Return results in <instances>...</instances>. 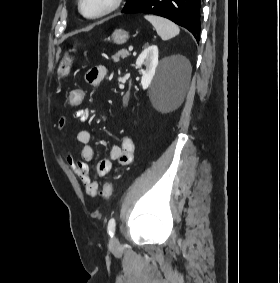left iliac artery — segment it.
Listing matches in <instances>:
<instances>
[{
    "label": "left iliac artery",
    "instance_id": "obj_1",
    "mask_svg": "<svg viewBox=\"0 0 280 283\" xmlns=\"http://www.w3.org/2000/svg\"><path fill=\"white\" fill-rule=\"evenodd\" d=\"M115 227H116V221H115V218L113 217L109 220L108 227H107L109 236L113 237L115 233Z\"/></svg>",
    "mask_w": 280,
    "mask_h": 283
}]
</instances>
